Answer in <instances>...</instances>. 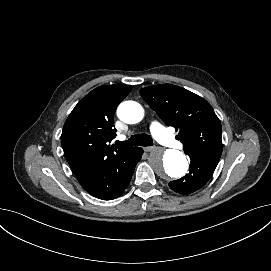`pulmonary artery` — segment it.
<instances>
[{
  "mask_svg": "<svg viewBox=\"0 0 271 271\" xmlns=\"http://www.w3.org/2000/svg\"><path fill=\"white\" fill-rule=\"evenodd\" d=\"M150 130L155 134V136L163 145H170L171 147H177L178 149L183 148L181 143L175 142V138L173 136L164 132V130L160 127L159 121L157 119H152L150 121ZM119 139L124 140L125 137H120Z\"/></svg>",
  "mask_w": 271,
  "mask_h": 271,
  "instance_id": "e3ab8cb5",
  "label": "pulmonary artery"
}]
</instances>
